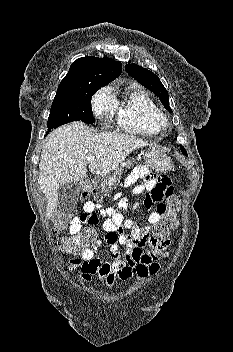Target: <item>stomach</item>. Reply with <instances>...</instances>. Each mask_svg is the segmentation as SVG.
I'll return each mask as SVG.
<instances>
[{
	"label": "stomach",
	"instance_id": "1",
	"mask_svg": "<svg viewBox=\"0 0 233 352\" xmlns=\"http://www.w3.org/2000/svg\"><path fill=\"white\" fill-rule=\"evenodd\" d=\"M143 158L146 166L156 172H166L171 167L170 158L165 153L155 148L147 151ZM131 165V161H126L121 163L120 166L110 173L101 175L96 181L98 190L102 193H109L115 189L120 182L123 170Z\"/></svg>",
	"mask_w": 233,
	"mask_h": 352
}]
</instances>
